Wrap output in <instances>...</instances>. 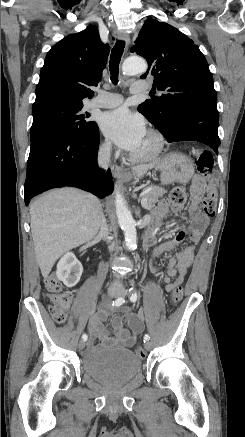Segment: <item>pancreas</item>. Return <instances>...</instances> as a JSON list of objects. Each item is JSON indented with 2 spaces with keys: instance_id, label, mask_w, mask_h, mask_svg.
<instances>
[{
  "instance_id": "1",
  "label": "pancreas",
  "mask_w": 245,
  "mask_h": 437,
  "mask_svg": "<svg viewBox=\"0 0 245 437\" xmlns=\"http://www.w3.org/2000/svg\"><path fill=\"white\" fill-rule=\"evenodd\" d=\"M166 193L165 189L159 186H150L143 192V198L147 200V205L153 207L158 199Z\"/></svg>"
}]
</instances>
